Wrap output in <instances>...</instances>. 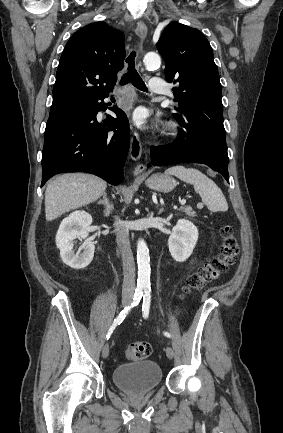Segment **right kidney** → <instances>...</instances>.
Returning a JSON list of instances; mask_svg holds the SVG:
<instances>
[{"mask_svg": "<svg viewBox=\"0 0 283 433\" xmlns=\"http://www.w3.org/2000/svg\"><path fill=\"white\" fill-rule=\"evenodd\" d=\"M92 216L85 211H75L64 218L56 234V244L60 250L62 261L73 269L87 267L94 257L95 246L88 237ZM76 238L85 239L81 246L83 253L73 251V241Z\"/></svg>", "mask_w": 283, "mask_h": 433, "instance_id": "ca27d5eb", "label": "right kidney"}]
</instances>
